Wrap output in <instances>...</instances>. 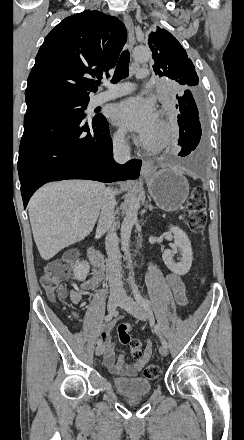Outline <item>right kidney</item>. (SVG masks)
Masks as SVG:
<instances>
[{
    "instance_id": "1",
    "label": "right kidney",
    "mask_w": 244,
    "mask_h": 440,
    "mask_svg": "<svg viewBox=\"0 0 244 440\" xmlns=\"http://www.w3.org/2000/svg\"><path fill=\"white\" fill-rule=\"evenodd\" d=\"M90 266L88 262H78L73 266V274L75 280H79V282H84L89 274Z\"/></svg>"
}]
</instances>
